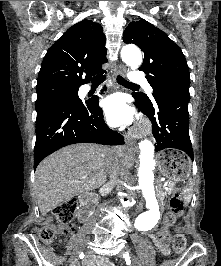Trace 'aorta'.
<instances>
[{
	"instance_id": "762f6f07",
	"label": "aorta",
	"mask_w": 221,
	"mask_h": 266,
	"mask_svg": "<svg viewBox=\"0 0 221 266\" xmlns=\"http://www.w3.org/2000/svg\"><path fill=\"white\" fill-rule=\"evenodd\" d=\"M121 57L133 70L142 64L141 52L135 46H124L121 50ZM139 150L140 166L138 182L149 211L143 212L137 217L135 228L137 230H148L157 223L160 216L154 189V145L149 140H143L139 143Z\"/></svg>"
}]
</instances>
